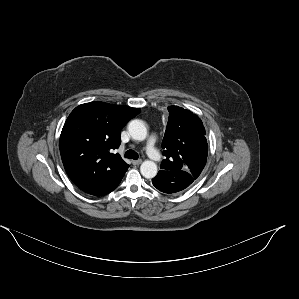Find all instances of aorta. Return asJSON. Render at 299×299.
Here are the masks:
<instances>
[{
    "label": "aorta",
    "mask_w": 299,
    "mask_h": 299,
    "mask_svg": "<svg viewBox=\"0 0 299 299\" xmlns=\"http://www.w3.org/2000/svg\"><path fill=\"white\" fill-rule=\"evenodd\" d=\"M129 135L134 140L143 141L147 136V128L142 120L135 119L128 124ZM141 174L147 178H153L157 174V165L151 160H145L140 166Z\"/></svg>",
    "instance_id": "aorta-1"
}]
</instances>
